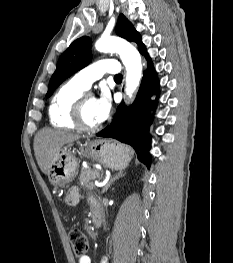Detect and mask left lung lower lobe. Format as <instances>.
Wrapping results in <instances>:
<instances>
[{
    "instance_id": "obj_1",
    "label": "left lung lower lobe",
    "mask_w": 233,
    "mask_h": 263,
    "mask_svg": "<svg viewBox=\"0 0 233 263\" xmlns=\"http://www.w3.org/2000/svg\"><path fill=\"white\" fill-rule=\"evenodd\" d=\"M139 51L146 57L148 69L144 72L137 97L130 107L121 103L112 123L97 136L114 138L129 144L135 150L138 159L149 167L151 136L148 131L153 120L150 110L155 109L157 104L156 101L151 100V96L158 93L159 82L145 45Z\"/></svg>"
}]
</instances>
